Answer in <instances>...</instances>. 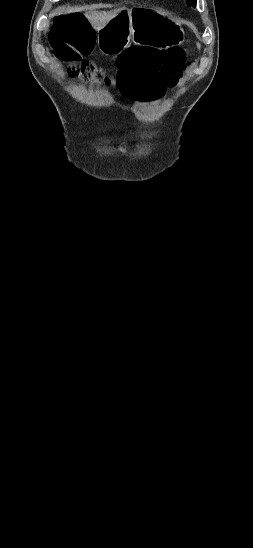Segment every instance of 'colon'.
Wrapping results in <instances>:
<instances>
[{"instance_id": "colon-1", "label": "colon", "mask_w": 253, "mask_h": 548, "mask_svg": "<svg viewBox=\"0 0 253 548\" xmlns=\"http://www.w3.org/2000/svg\"><path fill=\"white\" fill-rule=\"evenodd\" d=\"M51 47L55 56L69 63L68 73L91 85H110L113 79L95 63L82 59L91 50L95 36L88 20L80 13L59 16L54 21ZM182 49L167 50L131 47L118 59V90L133 104L162 102L171 83H179L185 71ZM150 96H152L150 98Z\"/></svg>"}]
</instances>
